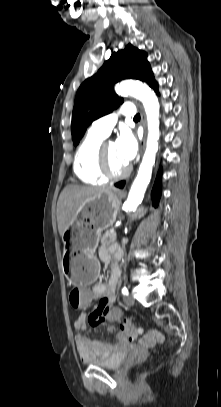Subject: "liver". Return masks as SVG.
I'll return each instance as SVG.
<instances>
[{"mask_svg":"<svg viewBox=\"0 0 221 407\" xmlns=\"http://www.w3.org/2000/svg\"><path fill=\"white\" fill-rule=\"evenodd\" d=\"M109 187L66 186L57 203V223L60 236L76 218L81 206L91 197L109 190Z\"/></svg>","mask_w":221,"mask_h":407,"instance_id":"liver-1","label":"liver"}]
</instances>
